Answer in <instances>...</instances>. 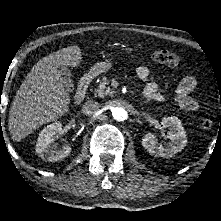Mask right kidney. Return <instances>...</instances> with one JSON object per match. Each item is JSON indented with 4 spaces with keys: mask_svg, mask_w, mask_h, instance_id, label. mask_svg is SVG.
<instances>
[{
    "mask_svg": "<svg viewBox=\"0 0 221 221\" xmlns=\"http://www.w3.org/2000/svg\"><path fill=\"white\" fill-rule=\"evenodd\" d=\"M62 131V124L54 122L47 125L39 134L36 144V153L42 159L50 162L62 160L71 153V146L64 145L60 148H54L51 144L54 141V135L60 134Z\"/></svg>",
    "mask_w": 221,
    "mask_h": 221,
    "instance_id": "ca27d5eb",
    "label": "right kidney"
}]
</instances>
